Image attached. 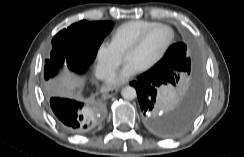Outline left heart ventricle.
I'll return each instance as SVG.
<instances>
[{
    "label": "left heart ventricle",
    "instance_id": "1",
    "mask_svg": "<svg viewBox=\"0 0 244 157\" xmlns=\"http://www.w3.org/2000/svg\"><path fill=\"white\" fill-rule=\"evenodd\" d=\"M170 38V31L166 28L153 30L142 45L126 56V61H132L140 69L153 61L163 50Z\"/></svg>",
    "mask_w": 244,
    "mask_h": 157
}]
</instances>
